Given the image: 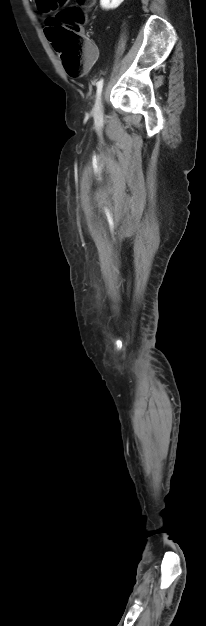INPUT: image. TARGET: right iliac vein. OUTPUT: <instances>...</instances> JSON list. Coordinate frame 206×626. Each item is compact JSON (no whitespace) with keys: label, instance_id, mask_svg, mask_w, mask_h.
<instances>
[{"label":"right iliac vein","instance_id":"right-iliac-vein-1","mask_svg":"<svg viewBox=\"0 0 206 626\" xmlns=\"http://www.w3.org/2000/svg\"><path fill=\"white\" fill-rule=\"evenodd\" d=\"M95 118L96 120H100L103 116V103H102V99L99 98V100L97 101L96 105H95Z\"/></svg>","mask_w":206,"mask_h":626}]
</instances>
